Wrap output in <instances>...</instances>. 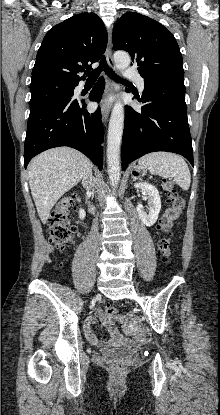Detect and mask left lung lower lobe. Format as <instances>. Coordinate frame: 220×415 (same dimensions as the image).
<instances>
[{
    "mask_svg": "<svg viewBox=\"0 0 220 415\" xmlns=\"http://www.w3.org/2000/svg\"><path fill=\"white\" fill-rule=\"evenodd\" d=\"M133 99L144 105L140 112L125 106L122 169L155 151L180 154L194 166L183 79L144 78L142 96Z\"/></svg>",
    "mask_w": 220,
    "mask_h": 415,
    "instance_id": "1",
    "label": "left lung lower lobe"
}]
</instances>
